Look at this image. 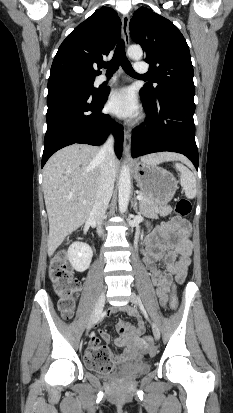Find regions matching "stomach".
I'll return each instance as SVG.
<instances>
[{"instance_id":"obj_1","label":"stomach","mask_w":233,"mask_h":413,"mask_svg":"<svg viewBox=\"0 0 233 413\" xmlns=\"http://www.w3.org/2000/svg\"><path fill=\"white\" fill-rule=\"evenodd\" d=\"M133 171L142 193L166 204L173 198L177 181L170 172L142 161L134 165Z\"/></svg>"}]
</instances>
